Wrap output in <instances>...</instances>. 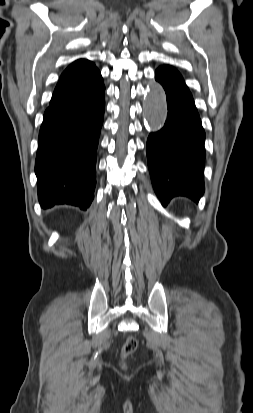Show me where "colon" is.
I'll return each mask as SVG.
<instances>
[{
    "instance_id": "5ec220e1",
    "label": "colon",
    "mask_w": 253,
    "mask_h": 413,
    "mask_svg": "<svg viewBox=\"0 0 253 413\" xmlns=\"http://www.w3.org/2000/svg\"><path fill=\"white\" fill-rule=\"evenodd\" d=\"M137 340L134 337H128L121 349V355L123 358L129 356L137 349Z\"/></svg>"
}]
</instances>
